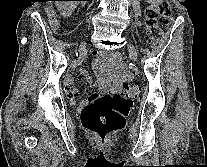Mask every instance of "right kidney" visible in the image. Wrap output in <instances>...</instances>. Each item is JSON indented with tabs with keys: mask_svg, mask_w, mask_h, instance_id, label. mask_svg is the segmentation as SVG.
<instances>
[{
	"mask_svg": "<svg viewBox=\"0 0 207 167\" xmlns=\"http://www.w3.org/2000/svg\"><path fill=\"white\" fill-rule=\"evenodd\" d=\"M56 6L64 17L70 16L75 9V5L72 2L57 1Z\"/></svg>",
	"mask_w": 207,
	"mask_h": 167,
	"instance_id": "obj_1",
	"label": "right kidney"
}]
</instances>
